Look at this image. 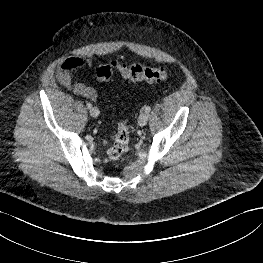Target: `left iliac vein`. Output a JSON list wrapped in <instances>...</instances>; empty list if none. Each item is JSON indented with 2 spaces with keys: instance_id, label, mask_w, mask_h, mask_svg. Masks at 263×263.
Masks as SVG:
<instances>
[{
  "instance_id": "left-iliac-vein-1",
  "label": "left iliac vein",
  "mask_w": 263,
  "mask_h": 263,
  "mask_svg": "<svg viewBox=\"0 0 263 263\" xmlns=\"http://www.w3.org/2000/svg\"><path fill=\"white\" fill-rule=\"evenodd\" d=\"M148 118H149L148 113H146V112L141 113L139 118H138V124L141 127L145 126L148 122Z\"/></svg>"
}]
</instances>
